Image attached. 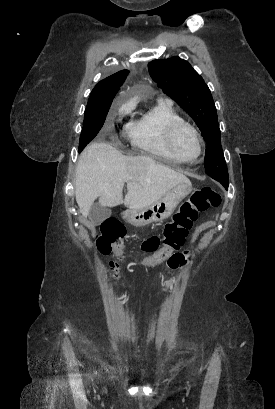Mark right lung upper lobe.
<instances>
[{
  "mask_svg": "<svg viewBox=\"0 0 275 409\" xmlns=\"http://www.w3.org/2000/svg\"><path fill=\"white\" fill-rule=\"evenodd\" d=\"M127 73V70H122L97 83L89 96L87 107H104L111 105Z\"/></svg>",
  "mask_w": 275,
  "mask_h": 409,
  "instance_id": "obj_1",
  "label": "right lung upper lobe"
}]
</instances>
